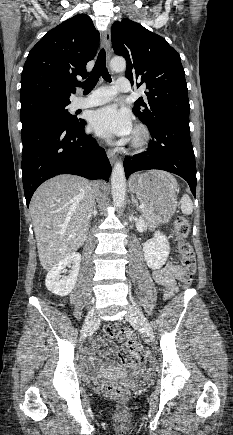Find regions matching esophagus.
Returning <instances> with one entry per match:
<instances>
[{
  "label": "esophagus",
  "mask_w": 233,
  "mask_h": 435,
  "mask_svg": "<svg viewBox=\"0 0 233 435\" xmlns=\"http://www.w3.org/2000/svg\"><path fill=\"white\" fill-rule=\"evenodd\" d=\"M102 43H103V47H104L105 52H106L107 60L109 61L111 58V31H110V27H108L107 30L105 31V33L103 34ZM107 156H108L111 164H114V162L116 161L115 152L109 149V150H107Z\"/></svg>",
  "instance_id": "esophagus-1"
}]
</instances>
